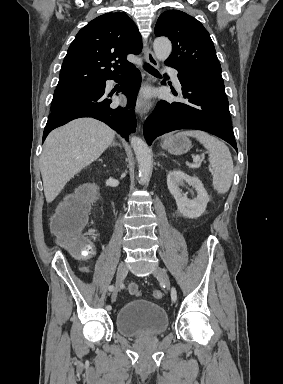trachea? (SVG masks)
I'll use <instances>...</instances> for the list:
<instances>
[{
    "label": "trachea",
    "mask_w": 283,
    "mask_h": 384,
    "mask_svg": "<svg viewBox=\"0 0 283 384\" xmlns=\"http://www.w3.org/2000/svg\"><path fill=\"white\" fill-rule=\"evenodd\" d=\"M144 68L145 70H147V72L151 73L152 75H160V73L154 67L149 65V63H145Z\"/></svg>",
    "instance_id": "obj_1"
}]
</instances>
